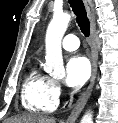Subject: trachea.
Here are the masks:
<instances>
[{
  "label": "trachea",
  "instance_id": "1",
  "mask_svg": "<svg viewBox=\"0 0 118 123\" xmlns=\"http://www.w3.org/2000/svg\"><path fill=\"white\" fill-rule=\"evenodd\" d=\"M70 6L76 15L78 26L82 33L88 37L90 34V24L87 18L85 6L82 0H69Z\"/></svg>",
  "mask_w": 118,
  "mask_h": 123
}]
</instances>
